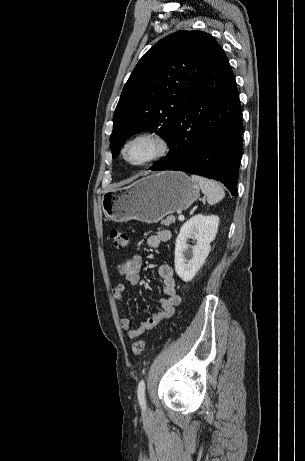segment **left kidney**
<instances>
[{
    "mask_svg": "<svg viewBox=\"0 0 305 461\" xmlns=\"http://www.w3.org/2000/svg\"><path fill=\"white\" fill-rule=\"evenodd\" d=\"M219 217L198 214L183 224L175 242V271L184 281H191L203 266L210 252V243L218 231ZM196 240L194 246L187 239Z\"/></svg>",
    "mask_w": 305,
    "mask_h": 461,
    "instance_id": "obj_1",
    "label": "left kidney"
}]
</instances>
